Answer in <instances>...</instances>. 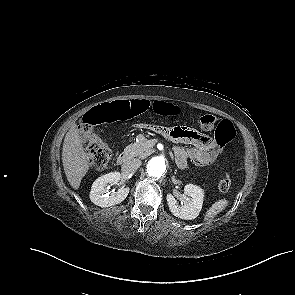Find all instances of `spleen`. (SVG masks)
<instances>
[{
	"instance_id": "3e777b00",
	"label": "spleen",
	"mask_w": 295,
	"mask_h": 295,
	"mask_svg": "<svg viewBox=\"0 0 295 295\" xmlns=\"http://www.w3.org/2000/svg\"><path fill=\"white\" fill-rule=\"evenodd\" d=\"M228 205V201L226 199H221L216 201L212 206L207 210L204 220L210 221L213 219L218 213L222 212Z\"/></svg>"
}]
</instances>
